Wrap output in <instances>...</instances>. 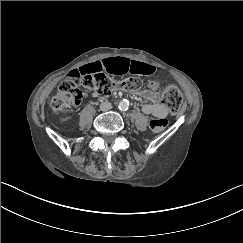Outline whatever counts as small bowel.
<instances>
[{"label": "small bowel", "mask_w": 243, "mask_h": 243, "mask_svg": "<svg viewBox=\"0 0 243 243\" xmlns=\"http://www.w3.org/2000/svg\"><path fill=\"white\" fill-rule=\"evenodd\" d=\"M156 68L150 64L131 60L124 57L109 58L102 61H94L78 69L80 72H108L113 75L133 73L138 75H150ZM142 97L150 103L143 105L142 110L146 114L156 118H165L169 111L159 102V96L152 91H143Z\"/></svg>", "instance_id": "1"}]
</instances>
